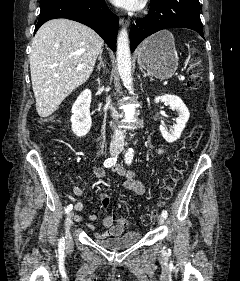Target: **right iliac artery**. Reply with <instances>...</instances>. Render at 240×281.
<instances>
[{
  "label": "right iliac artery",
  "instance_id": "82829eb1",
  "mask_svg": "<svg viewBox=\"0 0 240 281\" xmlns=\"http://www.w3.org/2000/svg\"><path fill=\"white\" fill-rule=\"evenodd\" d=\"M117 162V155L115 157H110L104 161V167L110 168ZM73 208V205L70 204L65 208V213H69ZM64 238H60L59 240V250L64 251Z\"/></svg>",
  "mask_w": 240,
  "mask_h": 281
}]
</instances>
